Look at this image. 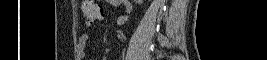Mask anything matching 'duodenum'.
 <instances>
[{
    "label": "duodenum",
    "mask_w": 267,
    "mask_h": 60,
    "mask_svg": "<svg viewBox=\"0 0 267 60\" xmlns=\"http://www.w3.org/2000/svg\"><path fill=\"white\" fill-rule=\"evenodd\" d=\"M116 2H118V3H125V2H127V1H125V0H118V1H116Z\"/></svg>",
    "instance_id": "duodenum-1"
}]
</instances>
